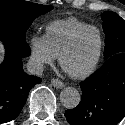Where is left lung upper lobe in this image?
I'll list each match as a JSON object with an SVG mask.
<instances>
[{"label": "left lung upper lobe", "mask_w": 125, "mask_h": 125, "mask_svg": "<svg viewBox=\"0 0 125 125\" xmlns=\"http://www.w3.org/2000/svg\"><path fill=\"white\" fill-rule=\"evenodd\" d=\"M103 31L105 38V59L118 53H125V20L112 11H106L102 15Z\"/></svg>", "instance_id": "left-lung-upper-lobe-1"}]
</instances>
